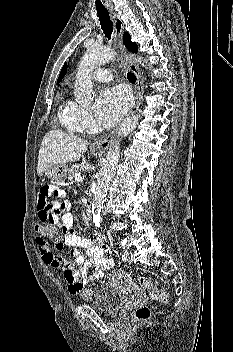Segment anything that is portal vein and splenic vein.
<instances>
[{
    "label": "portal vein and splenic vein",
    "instance_id": "obj_1",
    "mask_svg": "<svg viewBox=\"0 0 233 352\" xmlns=\"http://www.w3.org/2000/svg\"><path fill=\"white\" fill-rule=\"evenodd\" d=\"M75 180L78 182H83L84 177L80 173H76Z\"/></svg>",
    "mask_w": 233,
    "mask_h": 352
}]
</instances>
